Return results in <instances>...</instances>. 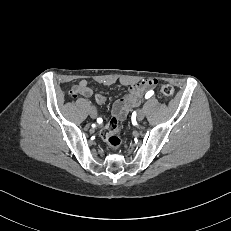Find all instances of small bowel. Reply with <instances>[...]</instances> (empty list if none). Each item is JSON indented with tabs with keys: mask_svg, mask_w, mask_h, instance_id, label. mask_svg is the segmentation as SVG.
Here are the masks:
<instances>
[{
	"mask_svg": "<svg viewBox=\"0 0 231 231\" xmlns=\"http://www.w3.org/2000/svg\"><path fill=\"white\" fill-rule=\"evenodd\" d=\"M155 81L153 79H146L139 83L132 84L129 86V93L127 96L118 99L112 107L113 117L120 119L124 118L131 108L137 107L140 104L142 96L147 91H152ZM73 96L79 94L84 97H90L93 94L92 89L88 86V82L85 79L80 80L71 89ZM95 101L98 104H104L106 97L102 94L95 95Z\"/></svg>",
	"mask_w": 231,
	"mask_h": 231,
	"instance_id": "c3829d8e",
	"label": "small bowel"
}]
</instances>
